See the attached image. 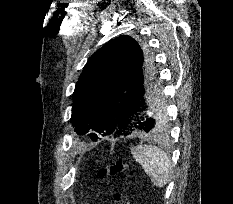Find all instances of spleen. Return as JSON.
<instances>
[{"label":"spleen","mask_w":233,"mask_h":204,"mask_svg":"<svg viewBox=\"0 0 233 204\" xmlns=\"http://www.w3.org/2000/svg\"><path fill=\"white\" fill-rule=\"evenodd\" d=\"M131 153L154 186L163 188L167 185L171 178L172 164L165 151L154 145H138L131 148Z\"/></svg>","instance_id":"3e777b00"}]
</instances>
